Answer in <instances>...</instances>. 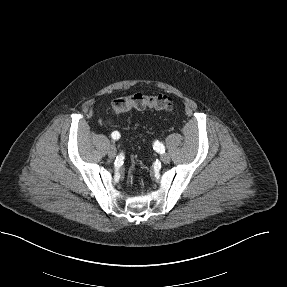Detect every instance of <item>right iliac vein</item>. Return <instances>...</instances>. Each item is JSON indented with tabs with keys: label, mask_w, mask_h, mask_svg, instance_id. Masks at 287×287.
I'll return each mask as SVG.
<instances>
[{
	"label": "right iliac vein",
	"mask_w": 287,
	"mask_h": 287,
	"mask_svg": "<svg viewBox=\"0 0 287 287\" xmlns=\"http://www.w3.org/2000/svg\"><path fill=\"white\" fill-rule=\"evenodd\" d=\"M109 158H114L116 156V148L114 146H110L108 149Z\"/></svg>",
	"instance_id": "obj_1"
}]
</instances>
